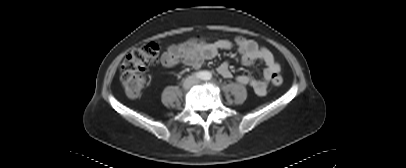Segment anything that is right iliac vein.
<instances>
[{
	"label": "right iliac vein",
	"instance_id": "obj_1",
	"mask_svg": "<svg viewBox=\"0 0 406 168\" xmlns=\"http://www.w3.org/2000/svg\"><path fill=\"white\" fill-rule=\"evenodd\" d=\"M192 84H193V81H192L191 78H189V79H186V80H185V82H184V84H183V87H184L185 89H189V88L192 86Z\"/></svg>",
	"mask_w": 406,
	"mask_h": 168
}]
</instances>
